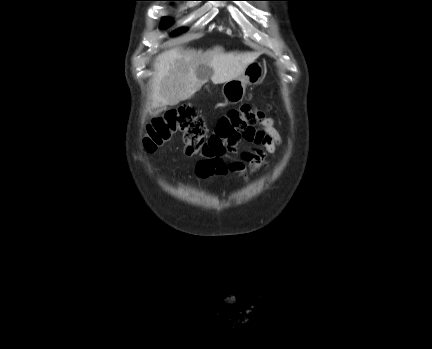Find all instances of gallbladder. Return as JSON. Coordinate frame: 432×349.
<instances>
[{
    "label": "gallbladder",
    "mask_w": 432,
    "mask_h": 349,
    "mask_svg": "<svg viewBox=\"0 0 432 349\" xmlns=\"http://www.w3.org/2000/svg\"><path fill=\"white\" fill-rule=\"evenodd\" d=\"M206 71H207L208 73L211 72V70L208 69V68H206ZM164 110H166V106H160V107L156 108V112H157V113H161V112H163Z\"/></svg>",
    "instance_id": "gallbladder-1"
}]
</instances>
